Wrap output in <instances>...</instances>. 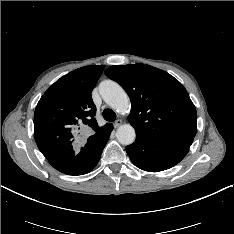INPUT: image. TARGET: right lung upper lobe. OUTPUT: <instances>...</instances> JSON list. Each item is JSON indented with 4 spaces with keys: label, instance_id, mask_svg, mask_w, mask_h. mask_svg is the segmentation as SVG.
<instances>
[{
    "label": "right lung upper lobe",
    "instance_id": "obj_1",
    "mask_svg": "<svg viewBox=\"0 0 234 234\" xmlns=\"http://www.w3.org/2000/svg\"><path fill=\"white\" fill-rule=\"evenodd\" d=\"M104 68L91 65L76 69L51 85L39 100L34 113V137L46 159L74 157L84 148L80 144L83 130L91 133L88 143L95 133L110 125L98 126L91 96Z\"/></svg>",
    "mask_w": 234,
    "mask_h": 234
}]
</instances>
